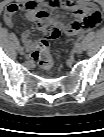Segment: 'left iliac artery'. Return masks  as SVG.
Masks as SVG:
<instances>
[{"label":"left iliac artery","mask_w":104,"mask_h":137,"mask_svg":"<svg viewBox=\"0 0 104 137\" xmlns=\"http://www.w3.org/2000/svg\"><path fill=\"white\" fill-rule=\"evenodd\" d=\"M75 42H76V43H77V42H80V43H81V42H82V39H81V38H76V39H75Z\"/></svg>","instance_id":"obj_1"}]
</instances>
